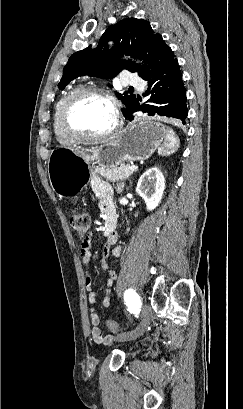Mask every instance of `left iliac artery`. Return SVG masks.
<instances>
[{
  "mask_svg": "<svg viewBox=\"0 0 243 409\" xmlns=\"http://www.w3.org/2000/svg\"><path fill=\"white\" fill-rule=\"evenodd\" d=\"M131 302L133 303V307L134 309H137L140 307L141 303L139 301V299H131Z\"/></svg>",
  "mask_w": 243,
  "mask_h": 409,
  "instance_id": "44dca946",
  "label": "left iliac artery"
}]
</instances>
